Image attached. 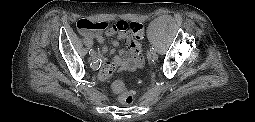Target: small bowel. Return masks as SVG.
Here are the masks:
<instances>
[{
    "label": "small bowel",
    "instance_id": "c3829d8e",
    "mask_svg": "<svg viewBox=\"0 0 255 122\" xmlns=\"http://www.w3.org/2000/svg\"><path fill=\"white\" fill-rule=\"evenodd\" d=\"M117 33V39L112 42L113 48L111 52H115V48L119 45V40L124 38L127 39V47L129 51L122 49L117 56L113 58L112 61H107L104 63L103 68L111 67L114 70H130L135 71L142 67L143 65V48L140 41L134 37L126 36L125 31H116L113 29L107 30L103 33L101 32H94L90 34H86V38L94 39L98 43L103 44L105 41V36H112ZM141 37L140 39H142ZM107 48H103V52L105 53Z\"/></svg>",
    "mask_w": 255,
    "mask_h": 122
}]
</instances>
